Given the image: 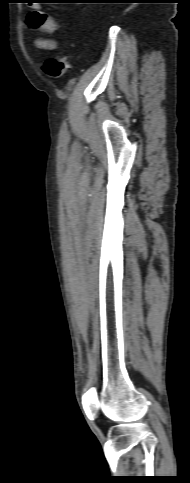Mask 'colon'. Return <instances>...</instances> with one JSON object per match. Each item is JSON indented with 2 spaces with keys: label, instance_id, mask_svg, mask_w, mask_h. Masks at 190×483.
<instances>
[{
  "label": "colon",
  "instance_id": "1",
  "mask_svg": "<svg viewBox=\"0 0 190 483\" xmlns=\"http://www.w3.org/2000/svg\"><path fill=\"white\" fill-rule=\"evenodd\" d=\"M41 68L50 78H61L69 70L67 57L64 54L50 57L42 62Z\"/></svg>",
  "mask_w": 190,
  "mask_h": 483
}]
</instances>
